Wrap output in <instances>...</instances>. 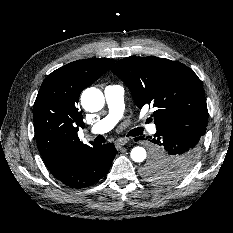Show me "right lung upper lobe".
Instances as JSON below:
<instances>
[{"mask_svg": "<svg viewBox=\"0 0 233 233\" xmlns=\"http://www.w3.org/2000/svg\"><path fill=\"white\" fill-rule=\"evenodd\" d=\"M114 63L113 59L90 58L58 68L43 81L33 106L37 147L48 168L85 145L77 131L84 128L77 103L83 89Z\"/></svg>", "mask_w": 233, "mask_h": 233, "instance_id": "cb5924a9", "label": "right lung upper lobe"}]
</instances>
